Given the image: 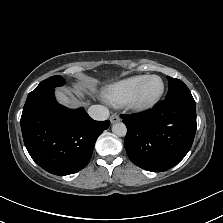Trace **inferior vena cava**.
<instances>
[{"mask_svg":"<svg viewBox=\"0 0 223 223\" xmlns=\"http://www.w3.org/2000/svg\"><path fill=\"white\" fill-rule=\"evenodd\" d=\"M88 114L95 120H106L109 117V110L102 105H92Z\"/></svg>","mask_w":223,"mask_h":223,"instance_id":"602c4592","label":"inferior vena cava"}]
</instances>
